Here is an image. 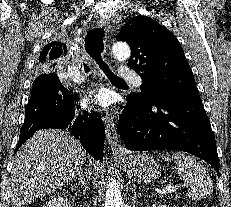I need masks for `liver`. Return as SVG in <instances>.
Masks as SVG:
<instances>
[{"label":"liver","mask_w":231,"mask_h":207,"mask_svg":"<svg viewBox=\"0 0 231 207\" xmlns=\"http://www.w3.org/2000/svg\"><path fill=\"white\" fill-rule=\"evenodd\" d=\"M86 155L68 132L37 131L15 155L9 177L12 207H23L71 181L82 170Z\"/></svg>","instance_id":"1"}]
</instances>
